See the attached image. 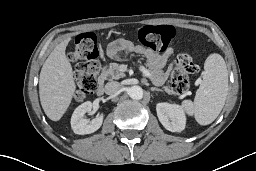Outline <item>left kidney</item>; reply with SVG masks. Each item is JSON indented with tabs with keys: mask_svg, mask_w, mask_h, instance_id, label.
Returning a JSON list of instances; mask_svg holds the SVG:
<instances>
[{
	"mask_svg": "<svg viewBox=\"0 0 256 171\" xmlns=\"http://www.w3.org/2000/svg\"><path fill=\"white\" fill-rule=\"evenodd\" d=\"M157 116L161 124L171 132H181L186 125V117L183 109L176 104L158 103Z\"/></svg>",
	"mask_w": 256,
	"mask_h": 171,
	"instance_id": "left-kidney-1",
	"label": "left kidney"
}]
</instances>
